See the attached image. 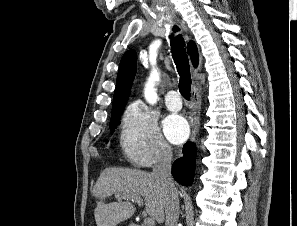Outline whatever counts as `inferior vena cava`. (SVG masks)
Returning a JSON list of instances; mask_svg holds the SVG:
<instances>
[{
	"label": "inferior vena cava",
	"mask_w": 297,
	"mask_h": 226,
	"mask_svg": "<svg viewBox=\"0 0 297 226\" xmlns=\"http://www.w3.org/2000/svg\"><path fill=\"white\" fill-rule=\"evenodd\" d=\"M171 161L172 150L163 144L156 155L152 175L165 191V226H177L179 219V197L171 176Z\"/></svg>",
	"instance_id": "inferior-vena-cava-1"
}]
</instances>
